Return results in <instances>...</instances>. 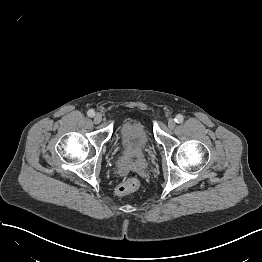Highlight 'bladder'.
<instances>
[{
    "instance_id": "1",
    "label": "bladder",
    "mask_w": 262,
    "mask_h": 262,
    "mask_svg": "<svg viewBox=\"0 0 262 262\" xmlns=\"http://www.w3.org/2000/svg\"><path fill=\"white\" fill-rule=\"evenodd\" d=\"M121 143L128 153H140L148 148L151 137L142 122H126L121 129Z\"/></svg>"
}]
</instances>
